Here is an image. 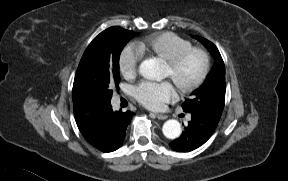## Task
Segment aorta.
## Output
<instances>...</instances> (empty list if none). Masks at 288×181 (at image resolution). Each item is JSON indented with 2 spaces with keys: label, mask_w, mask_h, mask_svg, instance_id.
I'll return each instance as SVG.
<instances>
[{
  "label": "aorta",
  "mask_w": 288,
  "mask_h": 181,
  "mask_svg": "<svg viewBox=\"0 0 288 181\" xmlns=\"http://www.w3.org/2000/svg\"><path fill=\"white\" fill-rule=\"evenodd\" d=\"M139 73L146 79L153 80L160 76V66L154 59L144 60L139 66ZM168 139H176L181 135V125L177 120H167L162 128Z\"/></svg>",
  "instance_id": "aorta-1"
}]
</instances>
